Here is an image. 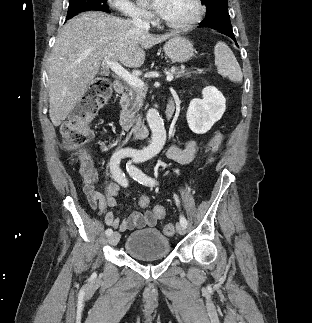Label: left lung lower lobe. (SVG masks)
<instances>
[{
	"label": "left lung lower lobe",
	"instance_id": "0a47b994",
	"mask_svg": "<svg viewBox=\"0 0 312 323\" xmlns=\"http://www.w3.org/2000/svg\"><path fill=\"white\" fill-rule=\"evenodd\" d=\"M214 30L229 36L230 38H232L236 42L235 36L233 34V31H232V26L230 27V26L222 25V26H220V27H218V28H216Z\"/></svg>",
	"mask_w": 312,
	"mask_h": 323
}]
</instances>
